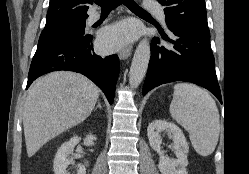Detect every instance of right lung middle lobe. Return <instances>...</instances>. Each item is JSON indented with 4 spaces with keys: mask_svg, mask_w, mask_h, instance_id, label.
I'll return each instance as SVG.
<instances>
[{
    "mask_svg": "<svg viewBox=\"0 0 249 174\" xmlns=\"http://www.w3.org/2000/svg\"><path fill=\"white\" fill-rule=\"evenodd\" d=\"M86 20H71L47 26L42 31L38 46H44L65 37H82L85 35Z\"/></svg>",
    "mask_w": 249,
    "mask_h": 174,
    "instance_id": "dd1d6c3e",
    "label": "right lung middle lobe"
}]
</instances>
